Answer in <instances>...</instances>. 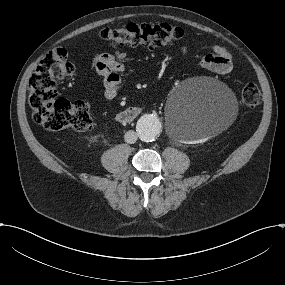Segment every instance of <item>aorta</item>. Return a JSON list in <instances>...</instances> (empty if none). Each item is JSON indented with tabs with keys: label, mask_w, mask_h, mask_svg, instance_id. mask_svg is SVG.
<instances>
[{
	"label": "aorta",
	"mask_w": 285,
	"mask_h": 285,
	"mask_svg": "<svg viewBox=\"0 0 285 285\" xmlns=\"http://www.w3.org/2000/svg\"><path fill=\"white\" fill-rule=\"evenodd\" d=\"M136 131L140 140L154 141L161 131V122L154 115H144L138 120Z\"/></svg>",
	"instance_id": "1"
}]
</instances>
